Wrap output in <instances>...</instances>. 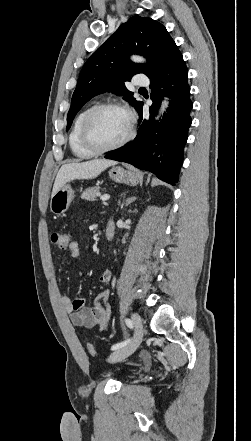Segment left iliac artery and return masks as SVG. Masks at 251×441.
Wrapping results in <instances>:
<instances>
[{
  "label": "left iliac artery",
  "instance_id": "left-iliac-artery-1",
  "mask_svg": "<svg viewBox=\"0 0 251 441\" xmlns=\"http://www.w3.org/2000/svg\"><path fill=\"white\" fill-rule=\"evenodd\" d=\"M125 323H126V325L129 327V328H133V323H132V321L130 320V319H125ZM130 342V339H127V340H125V341H122V342H119V343H117V344H114L112 347H111V350H117V349H119V348H122V347H124L125 345H127L128 343Z\"/></svg>",
  "mask_w": 251,
  "mask_h": 441
}]
</instances>
